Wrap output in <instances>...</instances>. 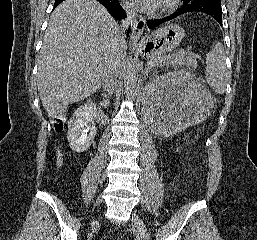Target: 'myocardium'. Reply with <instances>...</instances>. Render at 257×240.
Masks as SVG:
<instances>
[{"instance_id":"myocardium-1","label":"myocardium","mask_w":257,"mask_h":240,"mask_svg":"<svg viewBox=\"0 0 257 240\" xmlns=\"http://www.w3.org/2000/svg\"><path fill=\"white\" fill-rule=\"evenodd\" d=\"M178 3V0H163L161 4V11L166 12L172 10Z\"/></svg>"}]
</instances>
